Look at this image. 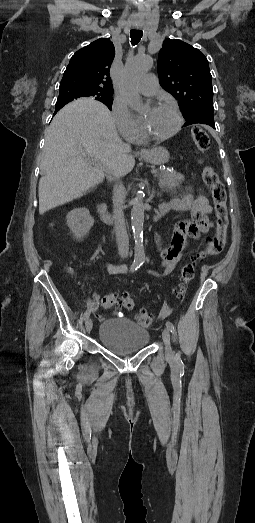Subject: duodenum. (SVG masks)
I'll return each mask as SVG.
<instances>
[{"mask_svg":"<svg viewBox=\"0 0 255 523\" xmlns=\"http://www.w3.org/2000/svg\"><path fill=\"white\" fill-rule=\"evenodd\" d=\"M96 208H97L98 214L104 221H106V222L111 221V215L109 214L105 205L98 203ZM169 210H170L169 202H163V203L159 204L157 209L155 210L154 219L158 220L160 217L165 215Z\"/></svg>","mask_w":255,"mask_h":523,"instance_id":"duodenum-1","label":"duodenum"}]
</instances>
